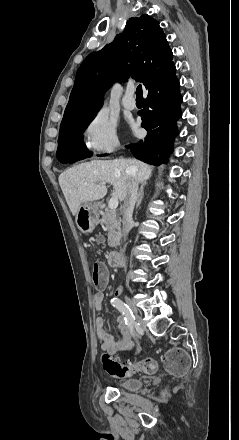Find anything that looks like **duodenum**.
<instances>
[{
    "label": "duodenum",
    "mask_w": 239,
    "mask_h": 440,
    "mask_svg": "<svg viewBox=\"0 0 239 440\" xmlns=\"http://www.w3.org/2000/svg\"><path fill=\"white\" fill-rule=\"evenodd\" d=\"M124 259L121 253L112 251L108 255V263L111 267H120L123 265Z\"/></svg>",
    "instance_id": "410a0bca"
}]
</instances>
